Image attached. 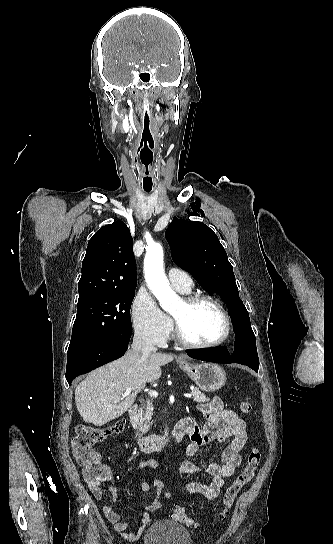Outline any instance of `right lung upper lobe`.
<instances>
[{
	"label": "right lung upper lobe",
	"mask_w": 333,
	"mask_h": 544,
	"mask_svg": "<svg viewBox=\"0 0 333 544\" xmlns=\"http://www.w3.org/2000/svg\"><path fill=\"white\" fill-rule=\"evenodd\" d=\"M133 240L122 221L105 225L88 242L78 283V302L111 291H132L137 285Z\"/></svg>",
	"instance_id": "cb5924a9"
}]
</instances>
